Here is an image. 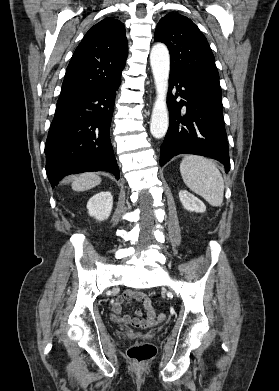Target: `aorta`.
I'll return each mask as SVG.
<instances>
[{
  "mask_svg": "<svg viewBox=\"0 0 279 391\" xmlns=\"http://www.w3.org/2000/svg\"><path fill=\"white\" fill-rule=\"evenodd\" d=\"M150 64L156 87V100L151 115L150 131L153 137L162 138L168 129V108L166 104L170 56L162 43L155 44L150 53Z\"/></svg>",
  "mask_w": 279,
  "mask_h": 391,
  "instance_id": "aorta-1",
  "label": "aorta"
}]
</instances>
